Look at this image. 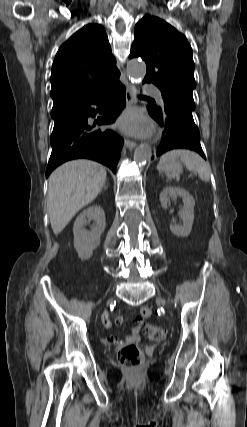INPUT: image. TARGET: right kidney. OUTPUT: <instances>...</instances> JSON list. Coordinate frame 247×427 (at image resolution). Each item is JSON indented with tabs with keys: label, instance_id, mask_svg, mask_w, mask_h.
Instances as JSON below:
<instances>
[{
	"label": "right kidney",
	"instance_id": "obj_1",
	"mask_svg": "<svg viewBox=\"0 0 247 427\" xmlns=\"http://www.w3.org/2000/svg\"><path fill=\"white\" fill-rule=\"evenodd\" d=\"M86 218L93 220L91 231L84 229ZM105 213L100 206L85 209L75 220L73 226L74 247L82 260L89 259L93 250L100 244V237L105 230Z\"/></svg>",
	"mask_w": 247,
	"mask_h": 427
}]
</instances>
